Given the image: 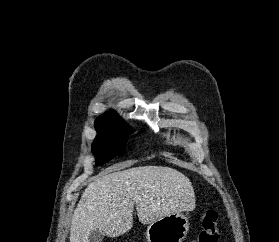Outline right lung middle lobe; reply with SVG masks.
<instances>
[{
  "mask_svg": "<svg viewBox=\"0 0 279 242\" xmlns=\"http://www.w3.org/2000/svg\"><path fill=\"white\" fill-rule=\"evenodd\" d=\"M97 137L92 144V151L96 156V165L104 164L115 156L125 154L127 136L131 132L130 126H117L104 123L95 124Z\"/></svg>",
  "mask_w": 279,
  "mask_h": 242,
  "instance_id": "obj_1",
  "label": "right lung middle lobe"
}]
</instances>
